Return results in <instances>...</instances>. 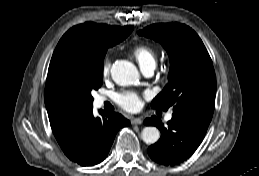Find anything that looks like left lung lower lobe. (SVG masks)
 I'll return each mask as SVG.
<instances>
[{
    "instance_id": "left-lung-lower-lobe-1",
    "label": "left lung lower lobe",
    "mask_w": 259,
    "mask_h": 176,
    "mask_svg": "<svg viewBox=\"0 0 259 176\" xmlns=\"http://www.w3.org/2000/svg\"><path fill=\"white\" fill-rule=\"evenodd\" d=\"M144 123L158 127L161 132V138L148 148V154L162 165H176L189 158L201 144L210 124L188 114H173L167 127L156 116Z\"/></svg>"
}]
</instances>
